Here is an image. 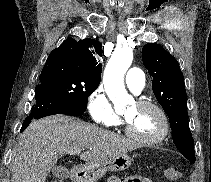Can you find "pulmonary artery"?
I'll list each match as a JSON object with an SVG mask.
<instances>
[{"label":"pulmonary artery","mask_w":211,"mask_h":182,"mask_svg":"<svg viewBox=\"0 0 211 182\" xmlns=\"http://www.w3.org/2000/svg\"><path fill=\"white\" fill-rule=\"evenodd\" d=\"M125 82L127 87L135 94H140L145 85L144 73L138 68L128 70Z\"/></svg>","instance_id":"e3ab8cb5"}]
</instances>
